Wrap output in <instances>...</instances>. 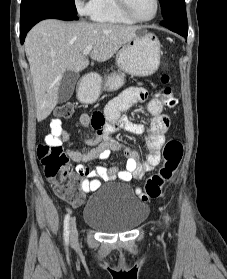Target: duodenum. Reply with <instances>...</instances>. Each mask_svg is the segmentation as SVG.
I'll return each instance as SVG.
<instances>
[{
  "label": "duodenum",
  "instance_id": "duodenum-1",
  "mask_svg": "<svg viewBox=\"0 0 227 279\" xmlns=\"http://www.w3.org/2000/svg\"><path fill=\"white\" fill-rule=\"evenodd\" d=\"M86 95H87V93L85 91H78V93H77L78 102L81 104H91L92 102L86 100V98H85Z\"/></svg>",
  "mask_w": 227,
  "mask_h": 279
}]
</instances>
